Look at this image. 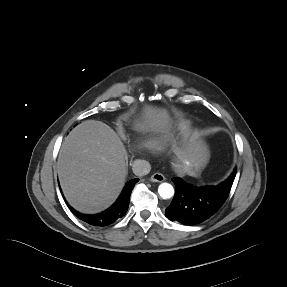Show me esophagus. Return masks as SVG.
Wrapping results in <instances>:
<instances>
[{"instance_id": "esophagus-1", "label": "esophagus", "mask_w": 287, "mask_h": 287, "mask_svg": "<svg viewBox=\"0 0 287 287\" xmlns=\"http://www.w3.org/2000/svg\"><path fill=\"white\" fill-rule=\"evenodd\" d=\"M165 180V177L163 174L161 173H154L152 176H151V181L152 182H163Z\"/></svg>"}]
</instances>
